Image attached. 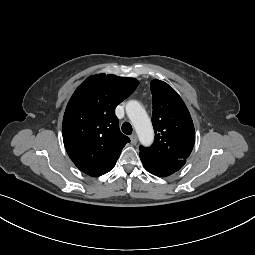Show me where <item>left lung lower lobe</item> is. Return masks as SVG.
Here are the masks:
<instances>
[{
    "instance_id": "0a47b994",
    "label": "left lung lower lobe",
    "mask_w": 255,
    "mask_h": 255,
    "mask_svg": "<svg viewBox=\"0 0 255 255\" xmlns=\"http://www.w3.org/2000/svg\"><path fill=\"white\" fill-rule=\"evenodd\" d=\"M140 158L143 163V166L145 167V169L147 171H149L151 174H154V175L160 176V177H166V176H169V175L175 173L176 171L181 169L182 166L185 164L184 161H179L178 163H175L172 165H158V164L152 163L142 157H140Z\"/></svg>"
}]
</instances>
